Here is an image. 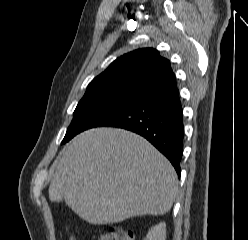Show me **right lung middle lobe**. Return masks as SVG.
Masks as SVG:
<instances>
[{"mask_svg":"<svg viewBox=\"0 0 248 240\" xmlns=\"http://www.w3.org/2000/svg\"><path fill=\"white\" fill-rule=\"evenodd\" d=\"M137 100L135 97L112 90H87L74 111L73 120L61 144L68 142L76 134L92 128L104 117Z\"/></svg>","mask_w":248,"mask_h":240,"instance_id":"1","label":"right lung middle lobe"}]
</instances>
